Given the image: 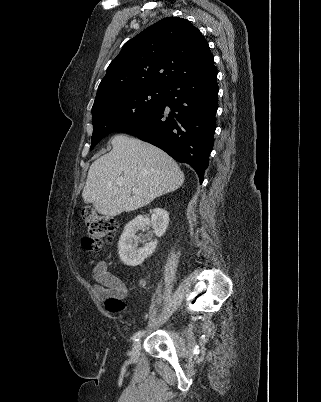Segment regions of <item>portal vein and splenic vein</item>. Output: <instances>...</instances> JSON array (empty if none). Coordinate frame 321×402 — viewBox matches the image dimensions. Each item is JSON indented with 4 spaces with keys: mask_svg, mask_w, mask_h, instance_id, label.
Returning <instances> with one entry per match:
<instances>
[{
    "mask_svg": "<svg viewBox=\"0 0 321 402\" xmlns=\"http://www.w3.org/2000/svg\"><path fill=\"white\" fill-rule=\"evenodd\" d=\"M116 184H118L119 186H122L124 184V180L123 179H117ZM133 191L136 192L137 189H133Z\"/></svg>",
    "mask_w": 321,
    "mask_h": 402,
    "instance_id": "1",
    "label": "portal vein and splenic vein"
}]
</instances>
